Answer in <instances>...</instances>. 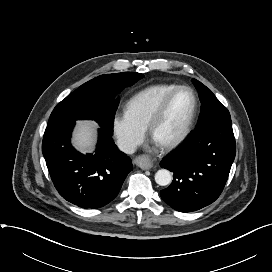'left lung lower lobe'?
I'll list each match as a JSON object with an SVG mask.
<instances>
[{"label": "left lung lower lobe", "instance_id": "left-lung-lower-lobe-1", "mask_svg": "<svg viewBox=\"0 0 272 272\" xmlns=\"http://www.w3.org/2000/svg\"><path fill=\"white\" fill-rule=\"evenodd\" d=\"M236 154L231 118L199 127L160 166L174 173L160 191L173 209L192 212L213 203L221 194Z\"/></svg>", "mask_w": 272, "mask_h": 272}]
</instances>
